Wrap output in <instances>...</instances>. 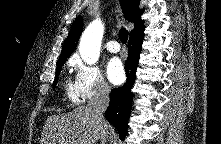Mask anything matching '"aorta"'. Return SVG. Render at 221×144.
I'll list each match as a JSON object with an SVG mask.
<instances>
[{"mask_svg":"<svg viewBox=\"0 0 221 144\" xmlns=\"http://www.w3.org/2000/svg\"><path fill=\"white\" fill-rule=\"evenodd\" d=\"M104 26L100 20L92 21L83 32L79 52L85 63L95 64L100 55L101 41L103 37Z\"/></svg>","mask_w":221,"mask_h":144,"instance_id":"obj_1","label":"aorta"}]
</instances>
